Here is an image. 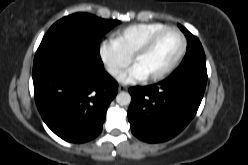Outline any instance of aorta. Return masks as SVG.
<instances>
[{"label": "aorta", "mask_w": 248, "mask_h": 165, "mask_svg": "<svg viewBox=\"0 0 248 165\" xmlns=\"http://www.w3.org/2000/svg\"><path fill=\"white\" fill-rule=\"evenodd\" d=\"M116 102L121 106L129 105L131 102V96L128 92H120L116 96Z\"/></svg>", "instance_id": "1"}]
</instances>
